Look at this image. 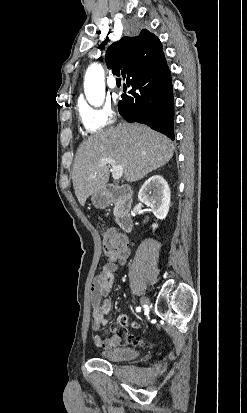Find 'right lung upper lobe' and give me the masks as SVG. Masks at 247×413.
Returning <instances> with one entry per match:
<instances>
[{
	"label": "right lung upper lobe",
	"instance_id": "1",
	"mask_svg": "<svg viewBox=\"0 0 247 413\" xmlns=\"http://www.w3.org/2000/svg\"><path fill=\"white\" fill-rule=\"evenodd\" d=\"M108 68L123 77L141 75L166 62L158 37L143 29L135 37H123L110 45L105 56Z\"/></svg>",
	"mask_w": 247,
	"mask_h": 413
}]
</instances>
